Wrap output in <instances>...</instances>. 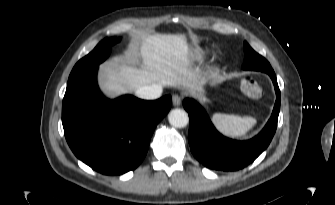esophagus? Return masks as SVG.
<instances>
[{
	"instance_id": "obj_1",
	"label": "esophagus",
	"mask_w": 335,
	"mask_h": 205,
	"mask_svg": "<svg viewBox=\"0 0 335 205\" xmlns=\"http://www.w3.org/2000/svg\"><path fill=\"white\" fill-rule=\"evenodd\" d=\"M172 101L174 106L181 105V98L178 95H173Z\"/></svg>"
}]
</instances>
